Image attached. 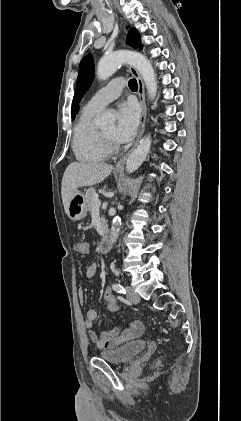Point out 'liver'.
Listing matches in <instances>:
<instances>
[{
	"instance_id": "6515ba94",
	"label": "liver",
	"mask_w": 241,
	"mask_h": 421,
	"mask_svg": "<svg viewBox=\"0 0 241 421\" xmlns=\"http://www.w3.org/2000/svg\"><path fill=\"white\" fill-rule=\"evenodd\" d=\"M113 166L103 163L72 162L66 168L62 183L61 195L64 210L68 215V205L78 188L96 185L107 178Z\"/></svg>"
}]
</instances>
